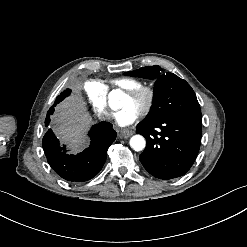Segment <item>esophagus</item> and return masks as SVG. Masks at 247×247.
<instances>
[{
	"instance_id": "34e87169",
	"label": "esophagus",
	"mask_w": 247,
	"mask_h": 247,
	"mask_svg": "<svg viewBox=\"0 0 247 247\" xmlns=\"http://www.w3.org/2000/svg\"><path fill=\"white\" fill-rule=\"evenodd\" d=\"M122 138H129L133 135L134 131L130 129H121L120 130Z\"/></svg>"
}]
</instances>
